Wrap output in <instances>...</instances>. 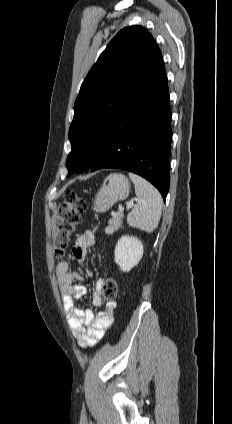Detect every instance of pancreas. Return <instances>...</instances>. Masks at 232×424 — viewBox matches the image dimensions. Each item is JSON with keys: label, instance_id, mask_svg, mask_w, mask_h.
<instances>
[{"label": "pancreas", "instance_id": "cf45deb5", "mask_svg": "<svg viewBox=\"0 0 232 424\" xmlns=\"http://www.w3.org/2000/svg\"><path fill=\"white\" fill-rule=\"evenodd\" d=\"M123 213H115L114 216L108 221L111 231H117L122 226Z\"/></svg>", "mask_w": 232, "mask_h": 424}]
</instances>
